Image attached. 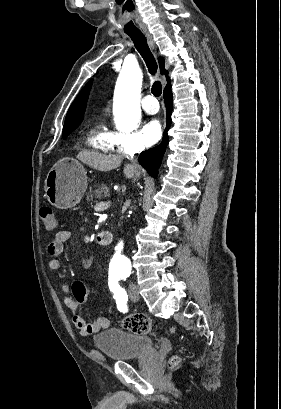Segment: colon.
Here are the masks:
<instances>
[{
  "label": "colon",
  "instance_id": "colon-1",
  "mask_svg": "<svg viewBox=\"0 0 281 409\" xmlns=\"http://www.w3.org/2000/svg\"><path fill=\"white\" fill-rule=\"evenodd\" d=\"M41 218L44 225V228L47 231H56L59 228L58 219L55 211L50 206L41 207ZM123 328L134 332L145 334L157 330L155 324L151 319L143 314L142 312H136L126 316L121 322ZM169 333H172L175 330L174 326L167 328ZM177 360H173L172 364L176 365Z\"/></svg>",
  "mask_w": 281,
  "mask_h": 409
}]
</instances>
